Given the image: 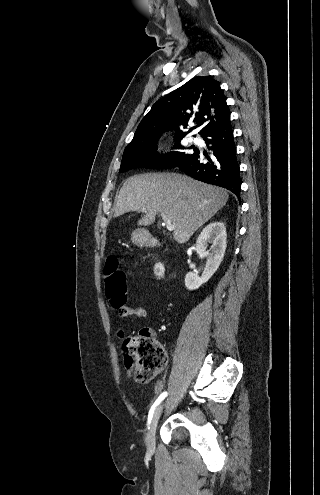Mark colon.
<instances>
[{
	"instance_id": "1",
	"label": "colon",
	"mask_w": 320,
	"mask_h": 495,
	"mask_svg": "<svg viewBox=\"0 0 320 495\" xmlns=\"http://www.w3.org/2000/svg\"><path fill=\"white\" fill-rule=\"evenodd\" d=\"M156 273L161 276L165 268L162 264L155 266ZM105 294L111 305L118 311L125 307L127 299V281L121 269L119 259L115 256L107 258L103 271ZM122 348L126 352V363H133L135 359L134 378L139 383H147L156 376L166 364L164 347L150 340L148 329H142L137 336H130L123 340ZM162 388L158 383L157 389Z\"/></svg>"
}]
</instances>
